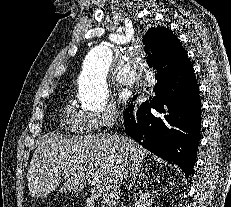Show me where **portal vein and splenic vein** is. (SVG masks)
Returning a JSON list of instances; mask_svg holds the SVG:
<instances>
[{
  "label": "portal vein and splenic vein",
  "mask_w": 231,
  "mask_h": 207,
  "mask_svg": "<svg viewBox=\"0 0 231 207\" xmlns=\"http://www.w3.org/2000/svg\"><path fill=\"white\" fill-rule=\"evenodd\" d=\"M91 186L98 191H102L101 185L96 181H92Z\"/></svg>",
  "instance_id": "18ae733b"
}]
</instances>
